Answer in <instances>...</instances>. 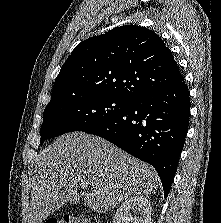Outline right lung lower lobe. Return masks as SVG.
<instances>
[{
  "instance_id": "obj_1",
  "label": "right lung lower lobe",
  "mask_w": 221,
  "mask_h": 223,
  "mask_svg": "<svg viewBox=\"0 0 221 223\" xmlns=\"http://www.w3.org/2000/svg\"><path fill=\"white\" fill-rule=\"evenodd\" d=\"M189 91L184 80L142 94L111 120L86 130L151 164L166 198L189 126Z\"/></svg>"
}]
</instances>
